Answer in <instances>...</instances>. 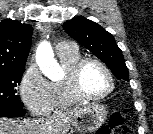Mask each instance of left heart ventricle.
Segmentation results:
<instances>
[{
  "label": "left heart ventricle",
  "instance_id": "1",
  "mask_svg": "<svg viewBox=\"0 0 153 134\" xmlns=\"http://www.w3.org/2000/svg\"><path fill=\"white\" fill-rule=\"evenodd\" d=\"M81 86L88 95H99L110 87L107 74L96 64H88L81 76Z\"/></svg>",
  "mask_w": 153,
  "mask_h": 134
}]
</instances>
